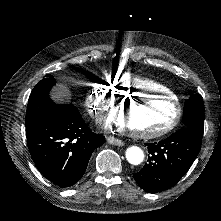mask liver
Here are the masks:
<instances>
[{
  "mask_svg": "<svg viewBox=\"0 0 221 221\" xmlns=\"http://www.w3.org/2000/svg\"><path fill=\"white\" fill-rule=\"evenodd\" d=\"M60 89L66 90L67 88L65 86H63V85H58V88H56L55 90L58 91ZM59 94H61V93H59Z\"/></svg>",
  "mask_w": 221,
  "mask_h": 221,
  "instance_id": "1",
  "label": "liver"
}]
</instances>
